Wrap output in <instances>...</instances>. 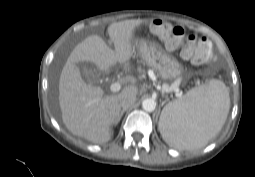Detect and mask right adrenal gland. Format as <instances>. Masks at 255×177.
I'll return each instance as SVG.
<instances>
[{"mask_svg": "<svg viewBox=\"0 0 255 177\" xmlns=\"http://www.w3.org/2000/svg\"><path fill=\"white\" fill-rule=\"evenodd\" d=\"M126 112V109H123L120 114L118 115L116 121H115V124H118L123 116V114Z\"/></svg>", "mask_w": 255, "mask_h": 177, "instance_id": "1", "label": "right adrenal gland"}]
</instances>
